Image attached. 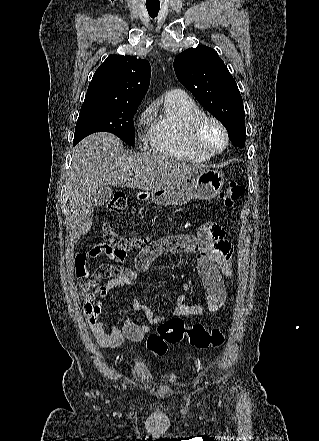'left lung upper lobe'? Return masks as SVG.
I'll return each instance as SVG.
<instances>
[{
    "instance_id": "left-lung-upper-lobe-1",
    "label": "left lung upper lobe",
    "mask_w": 319,
    "mask_h": 441,
    "mask_svg": "<svg viewBox=\"0 0 319 441\" xmlns=\"http://www.w3.org/2000/svg\"><path fill=\"white\" fill-rule=\"evenodd\" d=\"M178 80L227 129L236 146L245 145V112L237 84L217 52L207 46L189 48L175 57Z\"/></svg>"
}]
</instances>
